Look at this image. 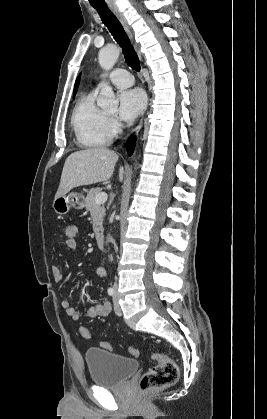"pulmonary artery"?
<instances>
[{
	"label": "pulmonary artery",
	"instance_id": "obj_1",
	"mask_svg": "<svg viewBox=\"0 0 267 419\" xmlns=\"http://www.w3.org/2000/svg\"><path fill=\"white\" fill-rule=\"evenodd\" d=\"M106 78L115 86L124 88L134 83L133 76L125 69H115Z\"/></svg>",
	"mask_w": 267,
	"mask_h": 419
}]
</instances>
